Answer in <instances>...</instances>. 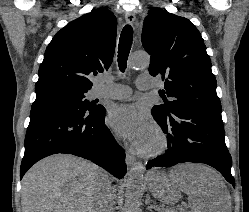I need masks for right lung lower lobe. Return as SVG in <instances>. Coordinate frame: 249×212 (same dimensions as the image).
I'll use <instances>...</instances> for the list:
<instances>
[{
    "label": "right lung lower lobe",
    "mask_w": 249,
    "mask_h": 212,
    "mask_svg": "<svg viewBox=\"0 0 249 212\" xmlns=\"http://www.w3.org/2000/svg\"><path fill=\"white\" fill-rule=\"evenodd\" d=\"M105 108L94 111L69 107L31 109L20 179L40 159L67 153L91 160L118 178L126 173L125 152L104 124Z\"/></svg>",
    "instance_id": "98d812e1"
}]
</instances>
